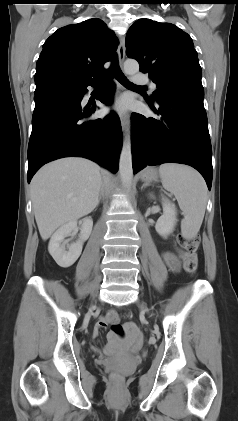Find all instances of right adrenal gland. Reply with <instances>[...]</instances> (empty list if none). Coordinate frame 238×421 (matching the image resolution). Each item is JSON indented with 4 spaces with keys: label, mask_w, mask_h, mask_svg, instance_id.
Segmentation results:
<instances>
[{
    "label": "right adrenal gland",
    "mask_w": 238,
    "mask_h": 421,
    "mask_svg": "<svg viewBox=\"0 0 238 421\" xmlns=\"http://www.w3.org/2000/svg\"><path fill=\"white\" fill-rule=\"evenodd\" d=\"M103 198H104V191H103V189H102V190H101V193H100V196H99V199H98L97 206L99 205L100 201H101Z\"/></svg>",
    "instance_id": "obj_1"
}]
</instances>
